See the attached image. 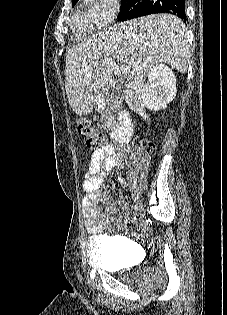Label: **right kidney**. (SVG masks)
<instances>
[{"label": "right kidney", "instance_id": "1", "mask_svg": "<svg viewBox=\"0 0 227 315\" xmlns=\"http://www.w3.org/2000/svg\"><path fill=\"white\" fill-rule=\"evenodd\" d=\"M176 77L164 64L153 67L148 75V83L142 89V102L150 110L166 108L176 96Z\"/></svg>", "mask_w": 227, "mask_h": 315}]
</instances>
